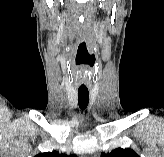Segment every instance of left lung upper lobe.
<instances>
[{"label": "left lung upper lobe", "instance_id": "5c2ea615", "mask_svg": "<svg viewBox=\"0 0 164 157\" xmlns=\"http://www.w3.org/2000/svg\"><path fill=\"white\" fill-rule=\"evenodd\" d=\"M101 157H140L132 149L117 148L110 153H102Z\"/></svg>", "mask_w": 164, "mask_h": 157}]
</instances>
